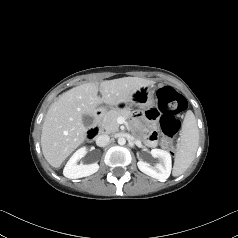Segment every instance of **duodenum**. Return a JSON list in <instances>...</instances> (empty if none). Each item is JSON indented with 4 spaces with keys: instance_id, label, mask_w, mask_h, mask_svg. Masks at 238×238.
I'll return each mask as SVG.
<instances>
[{
    "instance_id": "410a0bca",
    "label": "duodenum",
    "mask_w": 238,
    "mask_h": 238,
    "mask_svg": "<svg viewBox=\"0 0 238 238\" xmlns=\"http://www.w3.org/2000/svg\"><path fill=\"white\" fill-rule=\"evenodd\" d=\"M103 115H104V110L103 109L96 110V112L94 114L93 124H92L91 128L88 131V137L89 138L93 139L98 135L99 126H100V122L102 120Z\"/></svg>"
}]
</instances>
